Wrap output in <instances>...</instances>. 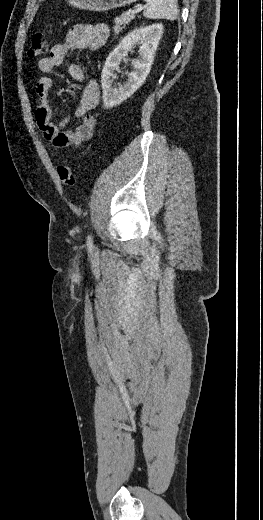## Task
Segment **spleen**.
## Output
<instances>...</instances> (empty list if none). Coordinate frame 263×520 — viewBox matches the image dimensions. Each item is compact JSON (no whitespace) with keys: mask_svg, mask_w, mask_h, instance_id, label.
Returning a JSON list of instances; mask_svg holds the SVG:
<instances>
[{"mask_svg":"<svg viewBox=\"0 0 263 520\" xmlns=\"http://www.w3.org/2000/svg\"><path fill=\"white\" fill-rule=\"evenodd\" d=\"M147 8L143 15L150 19L174 21L178 15L177 0H144Z\"/></svg>","mask_w":263,"mask_h":520,"instance_id":"obj_1","label":"spleen"}]
</instances>
